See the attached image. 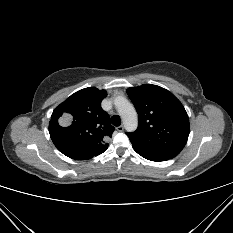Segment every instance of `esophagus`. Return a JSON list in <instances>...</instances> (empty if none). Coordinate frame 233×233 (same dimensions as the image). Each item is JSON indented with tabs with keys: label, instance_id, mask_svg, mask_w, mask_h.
<instances>
[{
	"label": "esophagus",
	"instance_id": "34e87169",
	"mask_svg": "<svg viewBox=\"0 0 233 233\" xmlns=\"http://www.w3.org/2000/svg\"><path fill=\"white\" fill-rule=\"evenodd\" d=\"M116 129H117L118 132H122L124 130V126L120 125Z\"/></svg>",
	"mask_w": 233,
	"mask_h": 233
}]
</instances>
